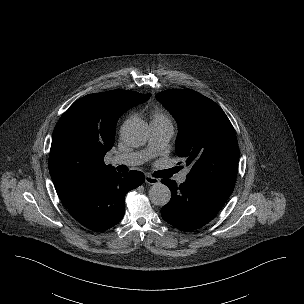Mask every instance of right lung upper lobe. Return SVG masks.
Here are the masks:
<instances>
[{
    "label": "right lung upper lobe",
    "mask_w": 304,
    "mask_h": 304,
    "mask_svg": "<svg viewBox=\"0 0 304 304\" xmlns=\"http://www.w3.org/2000/svg\"><path fill=\"white\" fill-rule=\"evenodd\" d=\"M150 96L130 90L90 94L62 115L53 131L48 165L65 206L76 201L100 174L114 168L105 165L104 156L114 144L117 120Z\"/></svg>",
    "instance_id": "obj_1"
}]
</instances>
